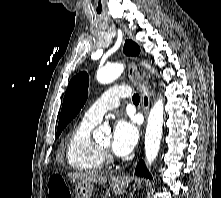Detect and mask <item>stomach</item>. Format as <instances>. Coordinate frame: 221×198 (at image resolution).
I'll use <instances>...</instances> for the list:
<instances>
[{
    "label": "stomach",
    "mask_w": 221,
    "mask_h": 198,
    "mask_svg": "<svg viewBox=\"0 0 221 198\" xmlns=\"http://www.w3.org/2000/svg\"><path fill=\"white\" fill-rule=\"evenodd\" d=\"M128 180H121L119 182L113 181L110 185L111 190L116 195L124 194L128 187ZM75 198H91L93 192V185L84 181H77L74 184Z\"/></svg>",
    "instance_id": "1"
}]
</instances>
